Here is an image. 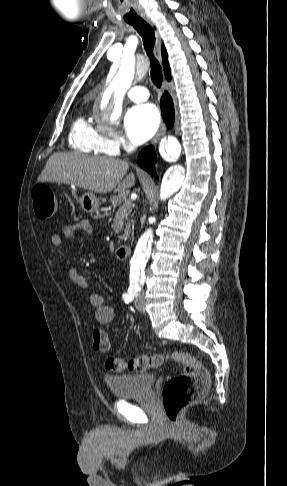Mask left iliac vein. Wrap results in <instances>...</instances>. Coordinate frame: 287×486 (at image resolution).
<instances>
[{
    "label": "left iliac vein",
    "mask_w": 287,
    "mask_h": 486,
    "mask_svg": "<svg viewBox=\"0 0 287 486\" xmlns=\"http://www.w3.org/2000/svg\"><path fill=\"white\" fill-rule=\"evenodd\" d=\"M144 302H145V297L144 293L141 292L136 298H135V307L138 311L144 312Z\"/></svg>",
    "instance_id": "1"
}]
</instances>
